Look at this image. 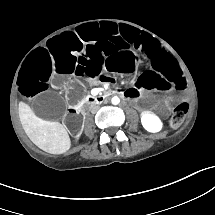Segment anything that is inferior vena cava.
Here are the masks:
<instances>
[{"mask_svg":"<svg viewBox=\"0 0 215 215\" xmlns=\"http://www.w3.org/2000/svg\"><path fill=\"white\" fill-rule=\"evenodd\" d=\"M99 109H100V106L94 105V106L91 107L90 111H91V113L95 114V113H97L99 111Z\"/></svg>","mask_w":215,"mask_h":215,"instance_id":"obj_1","label":"inferior vena cava"}]
</instances>
